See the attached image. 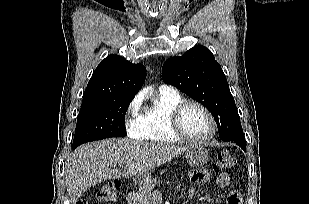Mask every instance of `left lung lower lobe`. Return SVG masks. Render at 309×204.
Instances as JSON below:
<instances>
[{
    "label": "left lung lower lobe",
    "mask_w": 309,
    "mask_h": 204,
    "mask_svg": "<svg viewBox=\"0 0 309 204\" xmlns=\"http://www.w3.org/2000/svg\"><path fill=\"white\" fill-rule=\"evenodd\" d=\"M231 141L239 145L243 150H246V142L244 137L236 138Z\"/></svg>",
    "instance_id": "obj_1"
}]
</instances>
